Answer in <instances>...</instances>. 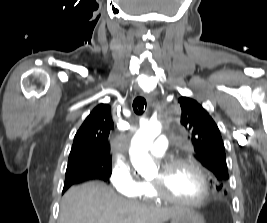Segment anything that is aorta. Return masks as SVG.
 <instances>
[{"mask_svg": "<svg viewBox=\"0 0 267 223\" xmlns=\"http://www.w3.org/2000/svg\"><path fill=\"white\" fill-rule=\"evenodd\" d=\"M161 133V124L149 121L140 126L132 139L130 158L135 170L142 176L153 175L157 167L148 154L153 140Z\"/></svg>", "mask_w": 267, "mask_h": 223, "instance_id": "1", "label": "aorta"}]
</instances>
